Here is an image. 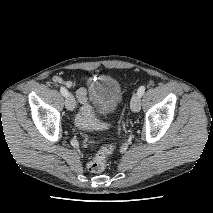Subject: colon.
<instances>
[{"label": "colon", "mask_w": 213, "mask_h": 213, "mask_svg": "<svg viewBox=\"0 0 213 213\" xmlns=\"http://www.w3.org/2000/svg\"><path fill=\"white\" fill-rule=\"evenodd\" d=\"M114 143L103 144L95 156L87 163V169L90 173H101L106 166L108 156L115 150Z\"/></svg>", "instance_id": "obj_1"}]
</instances>
